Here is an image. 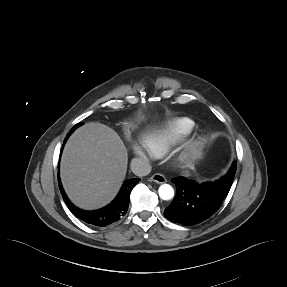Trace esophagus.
Wrapping results in <instances>:
<instances>
[{
    "mask_svg": "<svg viewBox=\"0 0 287 287\" xmlns=\"http://www.w3.org/2000/svg\"><path fill=\"white\" fill-rule=\"evenodd\" d=\"M151 181L158 183V184H162L166 182V178L162 175V174H154L151 178Z\"/></svg>",
    "mask_w": 287,
    "mask_h": 287,
    "instance_id": "34e87169",
    "label": "esophagus"
}]
</instances>
